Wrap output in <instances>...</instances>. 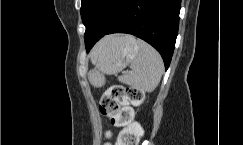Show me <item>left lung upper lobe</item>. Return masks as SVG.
Here are the masks:
<instances>
[{
	"label": "left lung upper lobe",
	"instance_id": "left-lung-upper-lobe-1",
	"mask_svg": "<svg viewBox=\"0 0 243 145\" xmlns=\"http://www.w3.org/2000/svg\"><path fill=\"white\" fill-rule=\"evenodd\" d=\"M126 0H81V17L84 25L99 21L103 25L111 23L120 12Z\"/></svg>",
	"mask_w": 243,
	"mask_h": 145
}]
</instances>
